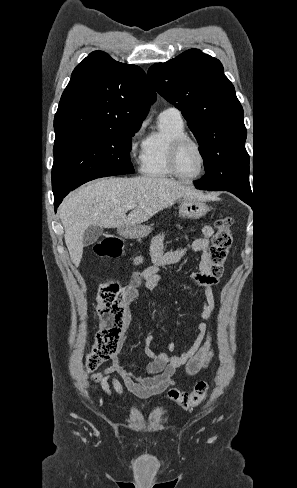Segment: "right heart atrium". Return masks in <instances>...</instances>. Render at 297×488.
<instances>
[{
	"label": "right heart atrium",
	"instance_id": "right-heart-atrium-1",
	"mask_svg": "<svg viewBox=\"0 0 297 488\" xmlns=\"http://www.w3.org/2000/svg\"><path fill=\"white\" fill-rule=\"evenodd\" d=\"M144 124H140L131 134L129 141V152L135 157H141L144 140H142Z\"/></svg>",
	"mask_w": 297,
	"mask_h": 488
}]
</instances>
